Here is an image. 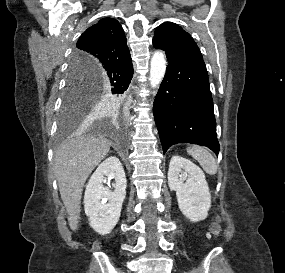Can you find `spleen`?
<instances>
[{
  "label": "spleen",
  "mask_w": 285,
  "mask_h": 273,
  "mask_svg": "<svg viewBox=\"0 0 285 273\" xmlns=\"http://www.w3.org/2000/svg\"><path fill=\"white\" fill-rule=\"evenodd\" d=\"M187 152L199 162L206 173L211 175L217 173L215 159L207 150L200 146H192L191 148L187 149Z\"/></svg>",
  "instance_id": "spleen-1"
}]
</instances>
